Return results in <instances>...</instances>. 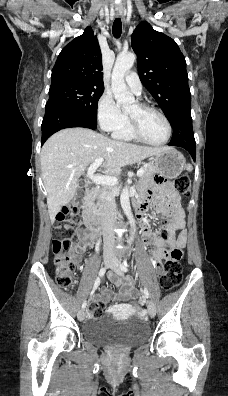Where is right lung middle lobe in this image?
Returning a JSON list of instances; mask_svg holds the SVG:
<instances>
[{
  "label": "right lung middle lobe",
  "instance_id": "obj_1",
  "mask_svg": "<svg viewBox=\"0 0 228 396\" xmlns=\"http://www.w3.org/2000/svg\"><path fill=\"white\" fill-rule=\"evenodd\" d=\"M103 92L104 87L62 83L50 86L46 105L60 104L97 120V104Z\"/></svg>",
  "mask_w": 228,
  "mask_h": 396
}]
</instances>
